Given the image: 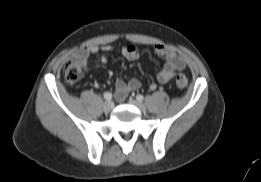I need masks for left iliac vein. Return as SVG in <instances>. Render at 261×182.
<instances>
[{
	"mask_svg": "<svg viewBox=\"0 0 261 182\" xmlns=\"http://www.w3.org/2000/svg\"><path fill=\"white\" fill-rule=\"evenodd\" d=\"M128 102L131 105L136 106L137 108H139L141 111H145L146 110V106L142 102H140V101H137L135 99H129Z\"/></svg>",
	"mask_w": 261,
	"mask_h": 182,
	"instance_id": "4c4485c4",
	"label": "left iliac vein"
}]
</instances>
